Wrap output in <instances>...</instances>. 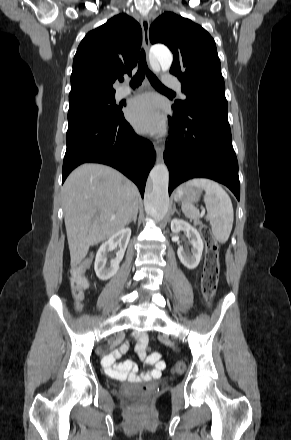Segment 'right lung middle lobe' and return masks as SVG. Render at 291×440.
I'll return each instance as SVG.
<instances>
[{"label":"right lung middle lobe","instance_id":"dd1d6c3e","mask_svg":"<svg viewBox=\"0 0 291 440\" xmlns=\"http://www.w3.org/2000/svg\"><path fill=\"white\" fill-rule=\"evenodd\" d=\"M69 112L75 110H91L102 114L116 115L121 112V105L115 104L114 95L86 96L69 101Z\"/></svg>","mask_w":291,"mask_h":440}]
</instances>
